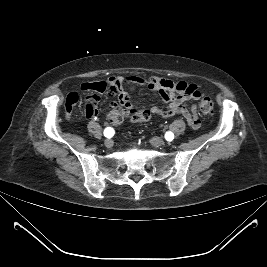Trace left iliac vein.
<instances>
[{"label": "left iliac vein", "instance_id": "1", "mask_svg": "<svg viewBox=\"0 0 267 267\" xmlns=\"http://www.w3.org/2000/svg\"><path fill=\"white\" fill-rule=\"evenodd\" d=\"M150 143L155 147H161L165 144L164 140L159 137H153L150 139Z\"/></svg>", "mask_w": 267, "mask_h": 267}]
</instances>
